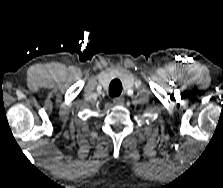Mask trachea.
<instances>
[{
  "label": "trachea",
  "instance_id": "3493384b",
  "mask_svg": "<svg viewBox=\"0 0 223 188\" xmlns=\"http://www.w3.org/2000/svg\"><path fill=\"white\" fill-rule=\"evenodd\" d=\"M122 92V83L118 79H114L111 81L109 85V95L111 97H117Z\"/></svg>",
  "mask_w": 223,
  "mask_h": 188
}]
</instances>
